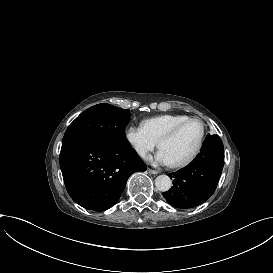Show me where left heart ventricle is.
<instances>
[{
  "mask_svg": "<svg viewBox=\"0 0 273 273\" xmlns=\"http://www.w3.org/2000/svg\"><path fill=\"white\" fill-rule=\"evenodd\" d=\"M202 127L197 121L191 122L180 130L175 137L165 141L162 145L171 162L177 163L187 159L194 151L200 136Z\"/></svg>",
  "mask_w": 273,
  "mask_h": 273,
  "instance_id": "obj_1",
  "label": "left heart ventricle"
}]
</instances>
